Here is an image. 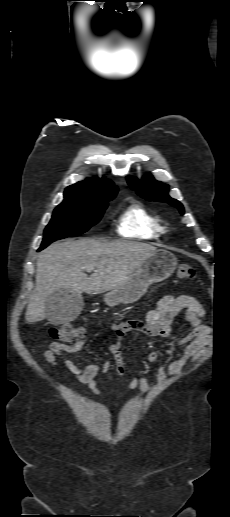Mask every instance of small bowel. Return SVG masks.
<instances>
[{"instance_id": "1", "label": "small bowel", "mask_w": 230, "mask_h": 517, "mask_svg": "<svg viewBox=\"0 0 230 517\" xmlns=\"http://www.w3.org/2000/svg\"><path fill=\"white\" fill-rule=\"evenodd\" d=\"M180 312H183L186 322L191 327V331L184 336H177L171 329L173 318ZM203 313L201 304L191 296L174 297L166 295L159 300L155 309L147 312L145 319H130L111 324L110 329L115 335V340L111 343L109 350L113 355L117 375L119 377L124 375L121 355L122 341L127 335L135 331L149 336L163 337L183 346L181 354L167 368L164 366L158 367L156 371L158 383H163L168 377L179 374L187 363L192 365L198 362L205 355L211 337L209 327L202 323ZM87 339L88 335L85 334L74 346L50 342L44 351V358L52 366H57L58 360H61L68 369L75 373L76 379L84 384L92 394H98L96 378L105 374L110 369L112 362L108 360L103 365L92 363L85 367H79L67 357L69 353L80 351ZM160 356V351H152L148 354L147 360L154 363ZM136 388H140L145 393L149 392L150 385L144 376H135L131 379L128 389L134 390Z\"/></svg>"}]
</instances>
